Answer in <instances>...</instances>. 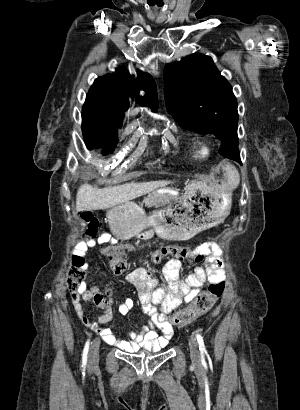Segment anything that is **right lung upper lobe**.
<instances>
[{"mask_svg": "<svg viewBox=\"0 0 300 410\" xmlns=\"http://www.w3.org/2000/svg\"><path fill=\"white\" fill-rule=\"evenodd\" d=\"M139 88L147 95L140 97ZM89 95L100 101L103 115L122 120L124 111L129 108L128 96L135 97L137 102L152 108H157L156 85L152 77L138 70L137 78L131 76L124 68L117 69L116 73L99 77L92 85Z\"/></svg>", "mask_w": 300, "mask_h": 410, "instance_id": "cb5924a9", "label": "right lung upper lobe"}]
</instances>
